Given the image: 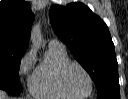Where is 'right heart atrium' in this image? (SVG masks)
<instances>
[{
  "mask_svg": "<svg viewBox=\"0 0 128 99\" xmlns=\"http://www.w3.org/2000/svg\"><path fill=\"white\" fill-rule=\"evenodd\" d=\"M34 59L35 53L33 50H29L25 53L19 63V74L21 76H29L31 78Z\"/></svg>",
  "mask_w": 128,
  "mask_h": 99,
  "instance_id": "d8ad5b80",
  "label": "right heart atrium"
}]
</instances>
